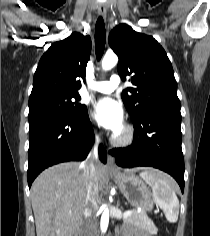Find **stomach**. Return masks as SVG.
<instances>
[{
  "mask_svg": "<svg viewBox=\"0 0 210 236\" xmlns=\"http://www.w3.org/2000/svg\"><path fill=\"white\" fill-rule=\"evenodd\" d=\"M111 177L118 184L126 199L135 207H139L144 212L153 209L154 200L149 188L144 181L134 174H112Z\"/></svg>",
  "mask_w": 210,
  "mask_h": 236,
  "instance_id": "1",
  "label": "stomach"
}]
</instances>
